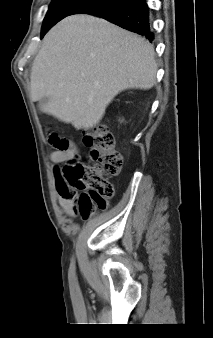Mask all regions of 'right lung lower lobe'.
Segmentation results:
<instances>
[{
  "label": "right lung lower lobe",
  "instance_id": "98d812e1",
  "mask_svg": "<svg viewBox=\"0 0 213 338\" xmlns=\"http://www.w3.org/2000/svg\"><path fill=\"white\" fill-rule=\"evenodd\" d=\"M73 14H90L104 18L122 28L154 39L146 0H91Z\"/></svg>",
  "mask_w": 213,
  "mask_h": 338
}]
</instances>
